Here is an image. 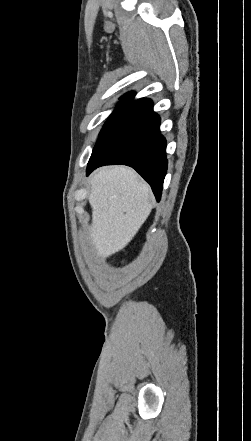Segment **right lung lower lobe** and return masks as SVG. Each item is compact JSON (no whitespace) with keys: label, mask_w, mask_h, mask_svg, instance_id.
Instances as JSON below:
<instances>
[{"label":"right lung lower lobe","mask_w":251,"mask_h":441,"mask_svg":"<svg viewBox=\"0 0 251 441\" xmlns=\"http://www.w3.org/2000/svg\"><path fill=\"white\" fill-rule=\"evenodd\" d=\"M160 117L150 99L131 103L97 141L87 166V175L103 165L133 167L161 198L167 172L166 140L159 132Z\"/></svg>","instance_id":"1"}]
</instances>
